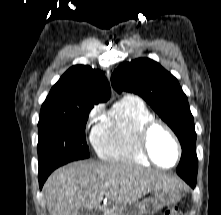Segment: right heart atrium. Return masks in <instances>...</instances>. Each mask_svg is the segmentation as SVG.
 I'll use <instances>...</instances> for the list:
<instances>
[{"label": "right heart atrium", "mask_w": 221, "mask_h": 215, "mask_svg": "<svg viewBox=\"0 0 221 215\" xmlns=\"http://www.w3.org/2000/svg\"><path fill=\"white\" fill-rule=\"evenodd\" d=\"M100 111H101V107H100V106L94 107V108L90 111V113H89V115H88V120H89L90 122H92L93 120H95L96 117L99 115Z\"/></svg>", "instance_id": "d8ad5b80"}]
</instances>
